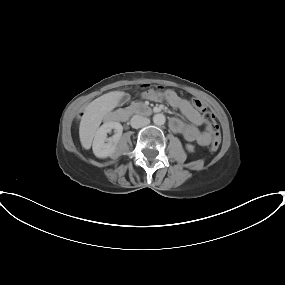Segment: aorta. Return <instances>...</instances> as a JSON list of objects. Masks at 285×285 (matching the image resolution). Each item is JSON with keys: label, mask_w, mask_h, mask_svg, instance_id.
Listing matches in <instances>:
<instances>
[{"label": "aorta", "mask_w": 285, "mask_h": 285, "mask_svg": "<svg viewBox=\"0 0 285 285\" xmlns=\"http://www.w3.org/2000/svg\"><path fill=\"white\" fill-rule=\"evenodd\" d=\"M153 122L155 125L161 126V125L165 124L166 118H165L164 114H162V113L155 114L153 116Z\"/></svg>", "instance_id": "762f6f07"}]
</instances>
